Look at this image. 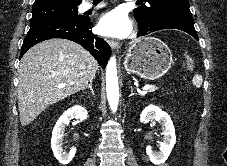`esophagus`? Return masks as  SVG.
Segmentation results:
<instances>
[{
  "mask_svg": "<svg viewBox=\"0 0 227 166\" xmlns=\"http://www.w3.org/2000/svg\"><path fill=\"white\" fill-rule=\"evenodd\" d=\"M109 45L113 50H118L120 48V44L118 41L110 40Z\"/></svg>",
  "mask_w": 227,
  "mask_h": 166,
  "instance_id": "1",
  "label": "esophagus"
}]
</instances>
